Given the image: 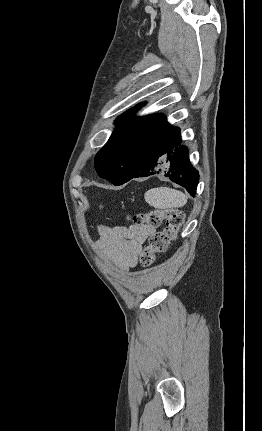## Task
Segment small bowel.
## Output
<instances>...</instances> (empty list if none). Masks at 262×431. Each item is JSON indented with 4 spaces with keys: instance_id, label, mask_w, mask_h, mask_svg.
<instances>
[{
    "instance_id": "1",
    "label": "small bowel",
    "mask_w": 262,
    "mask_h": 431,
    "mask_svg": "<svg viewBox=\"0 0 262 431\" xmlns=\"http://www.w3.org/2000/svg\"><path fill=\"white\" fill-rule=\"evenodd\" d=\"M99 238L96 250L104 263L114 262L125 271L137 265L138 256L143 244L153 233L148 226H98Z\"/></svg>"
}]
</instances>
